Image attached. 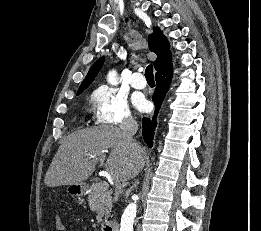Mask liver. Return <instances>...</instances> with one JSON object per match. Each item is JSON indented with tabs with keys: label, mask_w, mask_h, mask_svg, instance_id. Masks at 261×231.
Returning a JSON list of instances; mask_svg holds the SVG:
<instances>
[{
	"label": "liver",
	"mask_w": 261,
	"mask_h": 231,
	"mask_svg": "<svg viewBox=\"0 0 261 231\" xmlns=\"http://www.w3.org/2000/svg\"><path fill=\"white\" fill-rule=\"evenodd\" d=\"M145 160L146 152L140 146L135 152L123 139L121 129L111 125L86 128L62 141L44 182L48 187L81 184L98 163L115 182H126L141 172Z\"/></svg>",
	"instance_id": "1"
}]
</instances>
